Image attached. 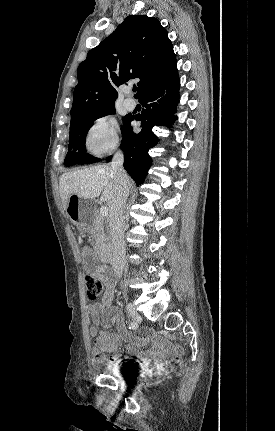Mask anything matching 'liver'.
<instances>
[{
  "label": "liver",
  "instance_id": "obj_1",
  "mask_svg": "<svg viewBox=\"0 0 275 431\" xmlns=\"http://www.w3.org/2000/svg\"><path fill=\"white\" fill-rule=\"evenodd\" d=\"M115 188L114 174L108 165L67 172L59 180V192L65 210L71 195L92 200L101 194V200L110 206Z\"/></svg>",
  "mask_w": 275,
  "mask_h": 431
}]
</instances>
